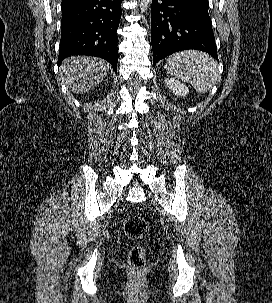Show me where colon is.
Here are the masks:
<instances>
[{"instance_id":"1","label":"colon","mask_w":272,"mask_h":303,"mask_svg":"<svg viewBox=\"0 0 272 303\" xmlns=\"http://www.w3.org/2000/svg\"><path fill=\"white\" fill-rule=\"evenodd\" d=\"M147 231V222L140 215H131L124 221V232L131 239L142 238ZM128 262L135 272H140L146 265L145 250L141 245L131 247Z\"/></svg>"}]
</instances>
